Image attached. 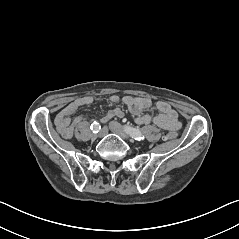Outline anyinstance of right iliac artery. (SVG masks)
Here are the masks:
<instances>
[{
    "mask_svg": "<svg viewBox=\"0 0 239 239\" xmlns=\"http://www.w3.org/2000/svg\"><path fill=\"white\" fill-rule=\"evenodd\" d=\"M91 130L93 131V133H98L99 131H100V129H101V125L98 123V122H96V121H94L92 124H91Z\"/></svg>",
    "mask_w": 239,
    "mask_h": 239,
    "instance_id": "obj_1",
    "label": "right iliac artery"
}]
</instances>
